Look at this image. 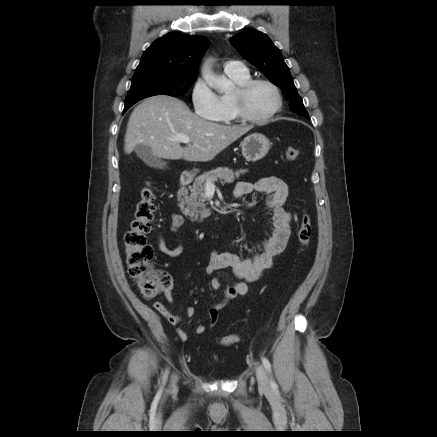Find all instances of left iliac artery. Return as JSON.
I'll list each match as a JSON object with an SVG mask.
<instances>
[{
  "instance_id": "44dca946",
  "label": "left iliac artery",
  "mask_w": 437,
  "mask_h": 437,
  "mask_svg": "<svg viewBox=\"0 0 437 437\" xmlns=\"http://www.w3.org/2000/svg\"><path fill=\"white\" fill-rule=\"evenodd\" d=\"M262 363H263L264 367L266 368V370L268 371V373L271 375V364H270L269 360L267 358L263 357ZM270 383H271V387L273 389L277 388V384L272 377H271Z\"/></svg>"
}]
</instances>
